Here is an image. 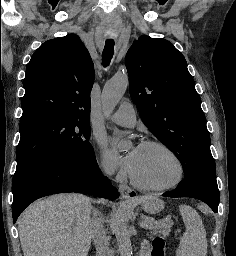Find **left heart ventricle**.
<instances>
[{"instance_id": "1", "label": "left heart ventricle", "mask_w": 236, "mask_h": 256, "mask_svg": "<svg viewBox=\"0 0 236 256\" xmlns=\"http://www.w3.org/2000/svg\"><path fill=\"white\" fill-rule=\"evenodd\" d=\"M130 172L143 185L158 187L172 182L179 169L173 157L157 147H138Z\"/></svg>"}]
</instances>
